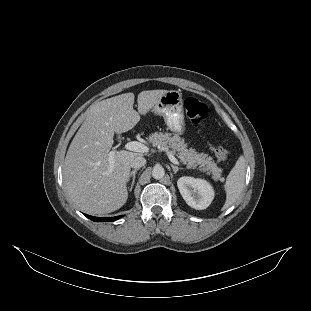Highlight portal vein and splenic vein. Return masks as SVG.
<instances>
[{
    "label": "portal vein and splenic vein",
    "mask_w": 311,
    "mask_h": 311,
    "mask_svg": "<svg viewBox=\"0 0 311 311\" xmlns=\"http://www.w3.org/2000/svg\"><path fill=\"white\" fill-rule=\"evenodd\" d=\"M123 149L125 150H128V151H135V152H145L146 151V147L138 142V141H129V142H126L124 145H123ZM118 152V147H113L112 150L109 152V170L112 171L113 168H114V160H115V155L116 153ZM169 158L171 160V162L180 167L182 166V164L180 163V161L172 154V152L169 153Z\"/></svg>",
    "instance_id": "18ae733b"
}]
</instances>
